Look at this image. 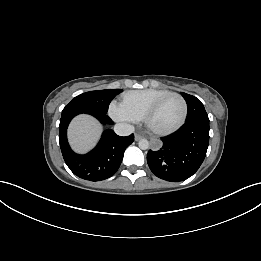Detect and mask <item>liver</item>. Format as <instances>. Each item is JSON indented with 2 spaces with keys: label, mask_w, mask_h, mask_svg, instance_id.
Returning a JSON list of instances; mask_svg holds the SVG:
<instances>
[{
  "label": "liver",
  "mask_w": 261,
  "mask_h": 261,
  "mask_svg": "<svg viewBox=\"0 0 261 261\" xmlns=\"http://www.w3.org/2000/svg\"><path fill=\"white\" fill-rule=\"evenodd\" d=\"M102 132L99 122L89 115L75 117L68 128V138L72 148L78 153H86L98 142Z\"/></svg>",
  "instance_id": "obj_1"
}]
</instances>
